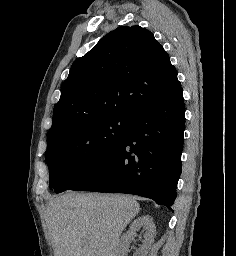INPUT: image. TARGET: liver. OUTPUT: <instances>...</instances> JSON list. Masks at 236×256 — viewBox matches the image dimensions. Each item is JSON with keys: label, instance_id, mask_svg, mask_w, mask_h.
Returning <instances> with one entry per match:
<instances>
[{"label": "liver", "instance_id": "obj_1", "mask_svg": "<svg viewBox=\"0 0 236 256\" xmlns=\"http://www.w3.org/2000/svg\"><path fill=\"white\" fill-rule=\"evenodd\" d=\"M139 210L135 198L121 194L56 196L46 208L54 256H116L119 238Z\"/></svg>", "mask_w": 236, "mask_h": 256}]
</instances>
